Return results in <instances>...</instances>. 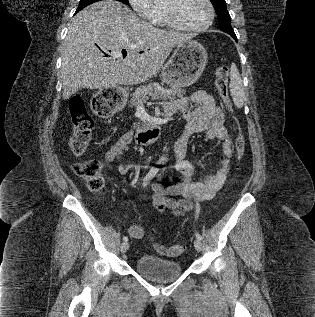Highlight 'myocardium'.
I'll return each mask as SVG.
<instances>
[{"label": "myocardium", "mask_w": 315, "mask_h": 317, "mask_svg": "<svg viewBox=\"0 0 315 317\" xmlns=\"http://www.w3.org/2000/svg\"><path fill=\"white\" fill-rule=\"evenodd\" d=\"M204 2L206 3L208 7L209 16L207 21L203 25L198 27H191V26L184 25L176 18L175 13L172 9L164 7L163 11H164L168 24L175 29L186 31V32H202L207 30L214 21L215 9L211 0H204Z\"/></svg>", "instance_id": "f54148a6"}]
</instances>
